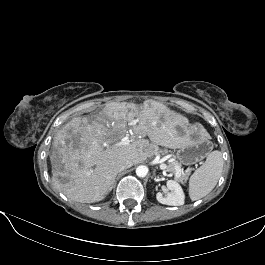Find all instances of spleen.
<instances>
[{
	"instance_id": "obj_1",
	"label": "spleen",
	"mask_w": 265,
	"mask_h": 265,
	"mask_svg": "<svg viewBox=\"0 0 265 265\" xmlns=\"http://www.w3.org/2000/svg\"><path fill=\"white\" fill-rule=\"evenodd\" d=\"M223 158L220 151L208 154L206 161L189 179V196L195 201L210 193L216 186L223 170Z\"/></svg>"
}]
</instances>
